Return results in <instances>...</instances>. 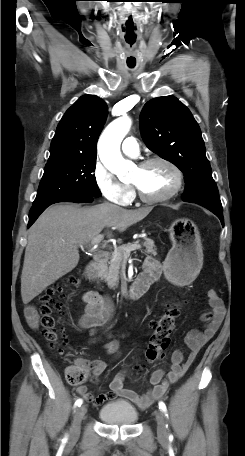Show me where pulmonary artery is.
I'll return each instance as SVG.
<instances>
[{
  "mask_svg": "<svg viewBox=\"0 0 245 456\" xmlns=\"http://www.w3.org/2000/svg\"><path fill=\"white\" fill-rule=\"evenodd\" d=\"M121 149L124 154L131 157H136L139 154V144L134 137L125 138Z\"/></svg>",
  "mask_w": 245,
  "mask_h": 456,
  "instance_id": "obj_1",
  "label": "pulmonary artery"
}]
</instances>
